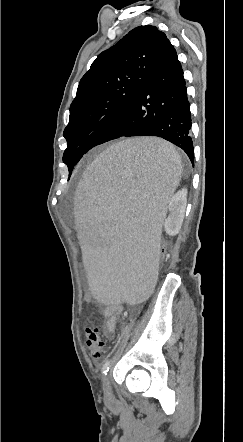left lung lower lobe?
<instances>
[{
  "mask_svg": "<svg viewBox=\"0 0 243 442\" xmlns=\"http://www.w3.org/2000/svg\"><path fill=\"white\" fill-rule=\"evenodd\" d=\"M191 125L183 70L168 42L136 96L100 144L121 137L156 136L183 149L194 164Z\"/></svg>",
  "mask_w": 243,
  "mask_h": 442,
  "instance_id": "0a47b994",
  "label": "left lung lower lobe"
}]
</instances>
